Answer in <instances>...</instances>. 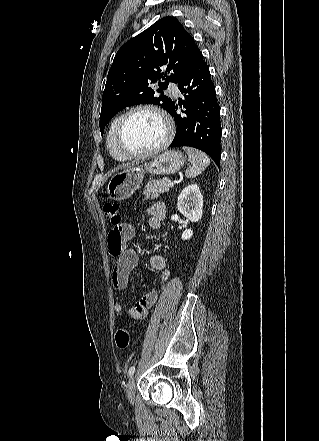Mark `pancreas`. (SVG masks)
Here are the masks:
<instances>
[{
  "instance_id": "1",
  "label": "pancreas",
  "mask_w": 319,
  "mask_h": 441,
  "mask_svg": "<svg viewBox=\"0 0 319 441\" xmlns=\"http://www.w3.org/2000/svg\"><path fill=\"white\" fill-rule=\"evenodd\" d=\"M168 184H169V180L166 177L148 181L143 191V194L145 195V199L154 200L157 199L160 196V194L168 192L169 191Z\"/></svg>"
}]
</instances>
